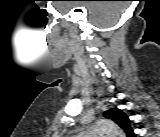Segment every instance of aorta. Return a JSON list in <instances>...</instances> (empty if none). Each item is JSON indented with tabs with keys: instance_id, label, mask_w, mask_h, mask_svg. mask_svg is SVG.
Segmentation results:
<instances>
[{
	"instance_id": "aorta-1",
	"label": "aorta",
	"mask_w": 160,
	"mask_h": 137,
	"mask_svg": "<svg viewBox=\"0 0 160 137\" xmlns=\"http://www.w3.org/2000/svg\"><path fill=\"white\" fill-rule=\"evenodd\" d=\"M95 132L98 134H105L110 137H124L123 131L120 130L117 125L110 121H101L97 125Z\"/></svg>"
}]
</instances>
